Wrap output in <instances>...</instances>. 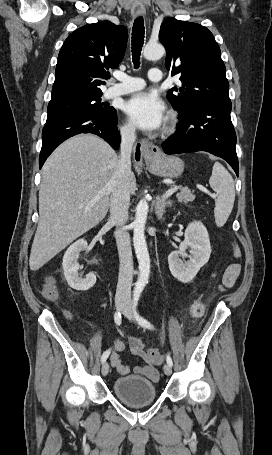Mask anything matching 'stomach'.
Returning <instances> with one entry per match:
<instances>
[{
	"label": "stomach",
	"instance_id": "0dacf381",
	"mask_svg": "<svg viewBox=\"0 0 272 455\" xmlns=\"http://www.w3.org/2000/svg\"><path fill=\"white\" fill-rule=\"evenodd\" d=\"M148 170L158 176L177 178L184 171V162L176 156L161 155L147 160Z\"/></svg>",
	"mask_w": 272,
	"mask_h": 455
}]
</instances>
